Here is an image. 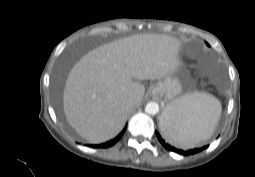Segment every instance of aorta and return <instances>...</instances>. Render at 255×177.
Segmentation results:
<instances>
[{
  "label": "aorta",
  "mask_w": 255,
  "mask_h": 177,
  "mask_svg": "<svg viewBox=\"0 0 255 177\" xmlns=\"http://www.w3.org/2000/svg\"><path fill=\"white\" fill-rule=\"evenodd\" d=\"M145 112L151 115H155L159 112V105L156 102H149L145 107Z\"/></svg>",
  "instance_id": "1"
}]
</instances>
